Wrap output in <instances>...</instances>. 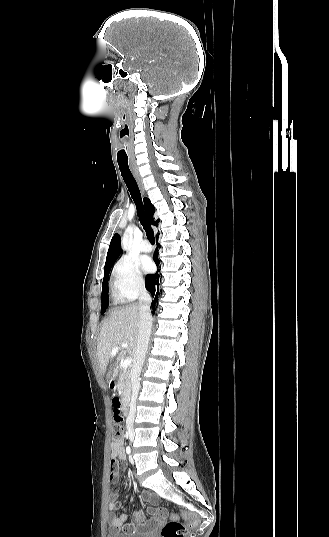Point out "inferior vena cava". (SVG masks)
Returning a JSON list of instances; mask_svg holds the SVG:
<instances>
[{
	"label": "inferior vena cava",
	"mask_w": 329,
	"mask_h": 537,
	"mask_svg": "<svg viewBox=\"0 0 329 537\" xmlns=\"http://www.w3.org/2000/svg\"><path fill=\"white\" fill-rule=\"evenodd\" d=\"M152 298L145 288L140 291L139 297V333L137 339V347L133 358L131 369V384H132V397L130 402V411L126 419V427L129 432H133L134 419L136 415V402L138 393L140 390L139 377L142 371V367L146 358V353L149 345L151 329H152V316L150 312V304Z\"/></svg>",
	"instance_id": "obj_1"
}]
</instances>
